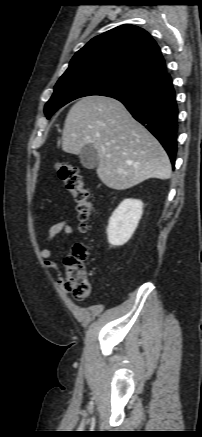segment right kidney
I'll use <instances>...</instances> for the list:
<instances>
[{
  "mask_svg": "<svg viewBox=\"0 0 202 437\" xmlns=\"http://www.w3.org/2000/svg\"><path fill=\"white\" fill-rule=\"evenodd\" d=\"M141 200L125 199L112 213L107 227L108 242L121 246L134 234L143 213Z\"/></svg>",
  "mask_w": 202,
  "mask_h": 437,
  "instance_id": "ca27d5eb",
  "label": "right kidney"
}]
</instances>
